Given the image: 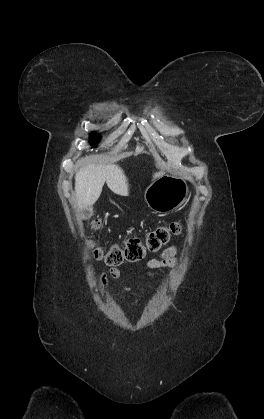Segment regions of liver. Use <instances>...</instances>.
<instances>
[{"label": "liver", "instance_id": "6515ba94", "mask_svg": "<svg viewBox=\"0 0 264 419\" xmlns=\"http://www.w3.org/2000/svg\"><path fill=\"white\" fill-rule=\"evenodd\" d=\"M163 174V172H156L153 179ZM105 182L115 194L120 196L129 194L128 180L118 165L86 164L82 166L75 175L77 206L82 209L91 207L100 197Z\"/></svg>", "mask_w": 264, "mask_h": 419}]
</instances>
